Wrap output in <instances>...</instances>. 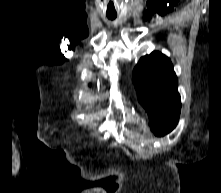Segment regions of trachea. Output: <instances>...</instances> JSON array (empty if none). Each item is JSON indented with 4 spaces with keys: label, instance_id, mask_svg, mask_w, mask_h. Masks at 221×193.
I'll return each instance as SVG.
<instances>
[{
    "label": "trachea",
    "instance_id": "obj_1",
    "mask_svg": "<svg viewBox=\"0 0 221 193\" xmlns=\"http://www.w3.org/2000/svg\"><path fill=\"white\" fill-rule=\"evenodd\" d=\"M107 17L110 19V20H114L116 18V15H107Z\"/></svg>",
    "mask_w": 221,
    "mask_h": 193
}]
</instances>
